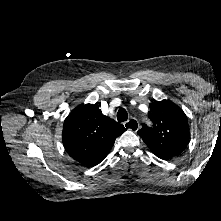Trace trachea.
<instances>
[{
	"mask_svg": "<svg viewBox=\"0 0 221 221\" xmlns=\"http://www.w3.org/2000/svg\"><path fill=\"white\" fill-rule=\"evenodd\" d=\"M128 119L127 111L124 108H120L117 112V120L119 122H124Z\"/></svg>",
	"mask_w": 221,
	"mask_h": 221,
	"instance_id": "1",
	"label": "trachea"
}]
</instances>
